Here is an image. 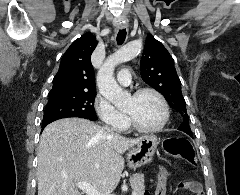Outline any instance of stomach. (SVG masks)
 Wrapping results in <instances>:
<instances>
[{
    "mask_svg": "<svg viewBox=\"0 0 240 195\" xmlns=\"http://www.w3.org/2000/svg\"><path fill=\"white\" fill-rule=\"evenodd\" d=\"M158 143L157 135H142L141 141L136 147H131L127 155L129 167H140V165L150 163Z\"/></svg>",
    "mask_w": 240,
    "mask_h": 195,
    "instance_id": "1",
    "label": "stomach"
}]
</instances>
